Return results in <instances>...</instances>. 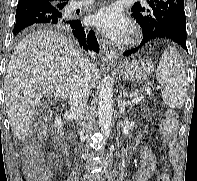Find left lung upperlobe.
Wrapping results in <instances>:
<instances>
[{
    "mask_svg": "<svg viewBox=\"0 0 197 181\" xmlns=\"http://www.w3.org/2000/svg\"><path fill=\"white\" fill-rule=\"evenodd\" d=\"M132 17L140 24L143 35L152 32L158 21L169 14L183 12V0H146L145 5L135 3Z\"/></svg>",
    "mask_w": 197,
    "mask_h": 181,
    "instance_id": "5c2ea615",
    "label": "left lung upper lobe"
}]
</instances>
